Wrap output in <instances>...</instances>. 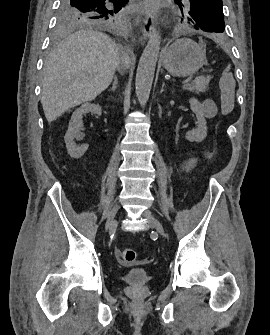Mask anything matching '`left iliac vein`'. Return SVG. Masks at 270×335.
Instances as JSON below:
<instances>
[{"instance_id": "left-iliac-vein-1", "label": "left iliac vein", "mask_w": 270, "mask_h": 335, "mask_svg": "<svg viewBox=\"0 0 270 335\" xmlns=\"http://www.w3.org/2000/svg\"><path fill=\"white\" fill-rule=\"evenodd\" d=\"M143 217L146 218L151 223L152 226H154V228L161 236L163 237L165 236V231L161 222L152 214L151 211L145 210L143 212Z\"/></svg>"}]
</instances>
